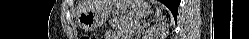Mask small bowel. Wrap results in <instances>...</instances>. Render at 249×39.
Listing matches in <instances>:
<instances>
[{
    "instance_id": "1",
    "label": "small bowel",
    "mask_w": 249,
    "mask_h": 39,
    "mask_svg": "<svg viewBox=\"0 0 249 39\" xmlns=\"http://www.w3.org/2000/svg\"><path fill=\"white\" fill-rule=\"evenodd\" d=\"M102 39H116V36L113 31L109 30L105 33Z\"/></svg>"
}]
</instances>
